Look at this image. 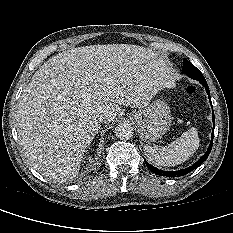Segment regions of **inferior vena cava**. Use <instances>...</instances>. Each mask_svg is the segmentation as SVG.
<instances>
[{
  "label": "inferior vena cava",
  "mask_w": 233,
  "mask_h": 233,
  "mask_svg": "<svg viewBox=\"0 0 233 233\" xmlns=\"http://www.w3.org/2000/svg\"><path fill=\"white\" fill-rule=\"evenodd\" d=\"M93 122H94V123H97V124H100V123L104 122V118H103V116L98 115V116H96V117L94 118Z\"/></svg>",
  "instance_id": "inferior-vena-cava-1"
}]
</instances>
